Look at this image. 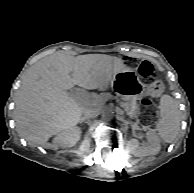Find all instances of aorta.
<instances>
[{"mask_svg": "<svg viewBox=\"0 0 194 193\" xmlns=\"http://www.w3.org/2000/svg\"><path fill=\"white\" fill-rule=\"evenodd\" d=\"M117 115V112L113 109H108L105 111L104 113V117L106 119H112L113 117H115Z\"/></svg>", "mask_w": 194, "mask_h": 193, "instance_id": "762f6f07", "label": "aorta"}]
</instances>
